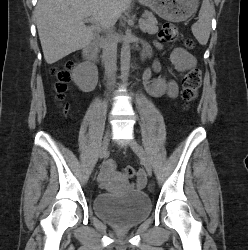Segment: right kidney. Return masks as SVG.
<instances>
[{"label":"right kidney","instance_id":"ca27d5eb","mask_svg":"<svg viewBox=\"0 0 248 250\" xmlns=\"http://www.w3.org/2000/svg\"><path fill=\"white\" fill-rule=\"evenodd\" d=\"M71 79L83 92H91L98 83V70L95 65L80 63L71 73Z\"/></svg>","mask_w":248,"mask_h":250}]
</instances>
